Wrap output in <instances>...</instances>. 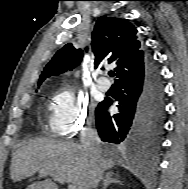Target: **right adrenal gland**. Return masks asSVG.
I'll return each mask as SVG.
<instances>
[{
  "label": "right adrenal gland",
  "mask_w": 188,
  "mask_h": 189,
  "mask_svg": "<svg viewBox=\"0 0 188 189\" xmlns=\"http://www.w3.org/2000/svg\"><path fill=\"white\" fill-rule=\"evenodd\" d=\"M113 173L107 172L104 179V187L103 189H106L110 184L112 183H121L120 180L113 178Z\"/></svg>",
  "instance_id": "2a0ac1e0"
}]
</instances>
